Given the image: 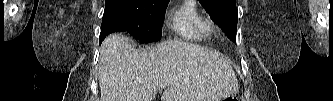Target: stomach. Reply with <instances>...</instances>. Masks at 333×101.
Masks as SVG:
<instances>
[{"instance_id": "1", "label": "stomach", "mask_w": 333, "mask_h": 101, "mask_svg": "<svg viewBox=\"0 0 333 101\" xmlns=\"http://www.w3.org/2000/svg\"><path fill=\"white\" fill-rule=\"evenodd\" d=\"M236 100H237L236 96L234 94H232V95H229V96L221 99L220 101H236Z\"/></svg>"}]
</instances>
